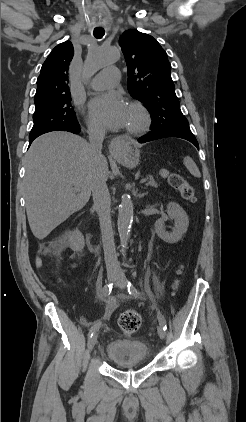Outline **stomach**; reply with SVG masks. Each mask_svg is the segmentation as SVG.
Returning <instances> with one entry per match:
<instances>
[{"label": "stomach", "mask_w": 246, "mask_h": 422, "mask_svg": "<svg viewBox=\"0 0 246 422\" xmlns=\"http://www.w3.org/2000/svg\"><path fill=\"white\" fill-rule=\"evenodd\" d=\"M118 159L123 165L134 168L140 162V150L135 145L129 143L119 152Z\"/></svg>", "instance_id": "1"}]
</instances>
